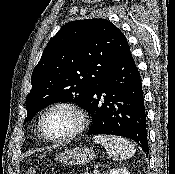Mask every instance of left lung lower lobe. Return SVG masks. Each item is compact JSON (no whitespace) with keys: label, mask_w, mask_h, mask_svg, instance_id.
<instances>
[{"label":"left lung lower lobe","mask_w":175,"mask_h":174,"mask_svg":"<svg viewBox=\"0 0 175 174\" xmlns=\"http://www.w3.org/2000/svg\"><path fill=\"white\" fill-rule=\"evenodd\" d=\"M85 109L92 117L87 135L127 137L137 142L148 156L141 78L129 45L113 68L93 89Z\"/></svg>","instance_id":"left-lung-lower-lobe-1"}]
</instances>
